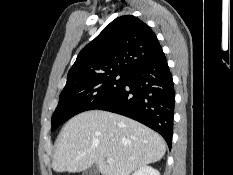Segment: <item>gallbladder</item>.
Segmentation results:
<instances>
[{
  "instance_id": "gallbladder-1",
  "label": "gallbladder",
  "mask_w": 233,
  "mask_h": 175,
  "mask_svg": "<svg viewBox=\"0 0 233 175\" xmlns=\"http://www.w3.org/2000/svg\"><path fill=\"white\" fill-rule=\"evenodd\" d=\"M82 175H99V169L97 165L93 164L90 168L85 170Z\"/></svg>"
}]
</instances>
